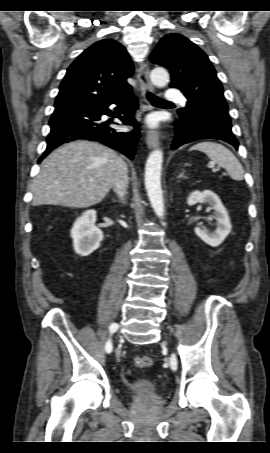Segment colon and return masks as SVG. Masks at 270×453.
Returning <instances> with one entry per match:
<instances>
[{"label": "colon", "instance_id": "colon-1", "mask_svg": "<svg viewBox=\"0 0 270 453\" xmlns=\"http://www.w3.org/2000/svg\"><path fill=\"white\" fill-rule=\"evenodd\" d=\"M134 364L137 368L143 369L151 366L152 359L148 355H137L134 358Z\"/></svg>", "mask_w": 270, "mask_h": 453}]
</instances>
